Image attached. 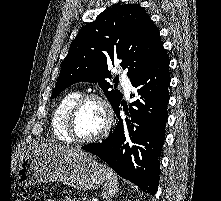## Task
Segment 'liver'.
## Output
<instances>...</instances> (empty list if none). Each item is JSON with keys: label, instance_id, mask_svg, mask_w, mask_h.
Masks as SVG:
<instances>
[{"label": "liver", "instance_id": "1", "mask_svg": "<svg viewBox=\"0 0 221 201\" xmlns=\"http://www.w3.org/2000/svg\"><path fill=\"white\" fill-rule=\"evenodd\" d=\"M40 151L57 152V153H72V152H82L78 148H69L68 146L60 144H42L36 148Z\"/></svg>", "mask_w": 221, "mask_h": 201}]
</instances>
